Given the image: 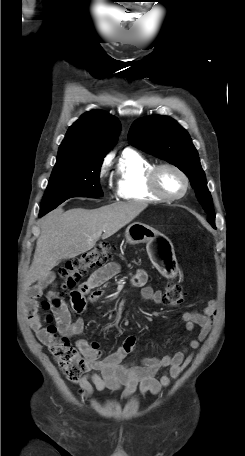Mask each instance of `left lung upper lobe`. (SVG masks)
<instances>
[{
    "mask_svg": "<svg viewBox=\"0 0 245 456\" xmlns=\"http://www.w3.org/2000/svg\"><path fill=\"white\" fill-rule=\"evenodd\" d=\"M128 139L133 146L166 160L186 174L208 214V222L215 228V213L205 173L187 131L172 118L155 115L135 121Z\"/></svg>",
    "mask_w": 245,
    "mask_h": 456,
    "instance_id": "5c2ea615",
    "label": "left lung upper lobe"
}]
</instances>
